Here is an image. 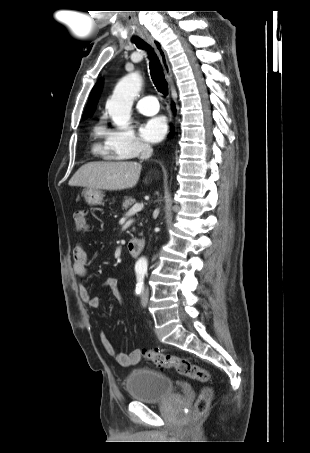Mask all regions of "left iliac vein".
Here are the masks:
<instances>
[{
    "mask_svg": "<svg viewBox=\"0 0 310 453\" xmlns=\"http://www.w3.org/2000/svg\"><path fill=\"white\" fill-rule=\"evenodd\" d=\"M149 299V290L144 289L141 295V304L143 307H146Z\"/></svg>",
    "mask_w": 310,
    "mask_h": 453,
    "instance_id": "1",
    "label": "left iliac vein"
}]
</instances>
